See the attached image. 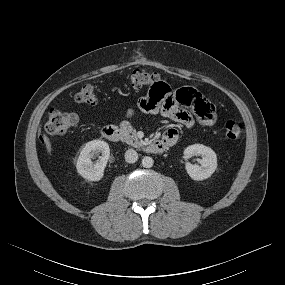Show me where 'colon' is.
<instances>
[{"label":"colon","instance_id":"obj_1","mask_svg":"<svg viewBox=\"0 0 285 285\" xmlns=\"http://www.w3.org/2000/svg\"><path fill=\"white\" fill-rule=\"evenodd\" d=\"M160 77L157 73L144 70H135L129 77L130 85L135 88L148 87L149 82ZM161 78V77H160ZM78 103L93 106L97 103L95 88L91 84H85L75 95ZM79 119L72 113L63 112L59 109H51L45 125L46 132L50 135H64L77 127ZM224 133L228 139H239L243 134V125L236 121H228L224 125Z\"/></svg>","mask_w":285,"mask_h":285}]
</instances>
